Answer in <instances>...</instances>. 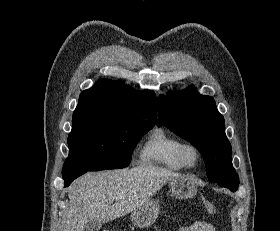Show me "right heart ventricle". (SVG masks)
Listing matches in <instances>:
<instances>
[{"mask_svg": "<svg viewBox=\"0 0 280 231\" xmlns=\"http://www.w3.org/2000/svg\"><path fill=\"white\" fill-rule=\"evenodd\" d=\"M181 139L158 126L153 128L144 139L138 151V160L141 165H158L171 171L183 169L177 151Z\"/></svg>", "mask_w": 280, "mask_h": 231, "instance_id": "obj_1", "label": "right heart ventricle"}]
</instances>
